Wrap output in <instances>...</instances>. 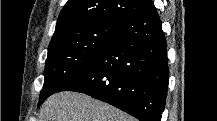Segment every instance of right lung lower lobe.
Returning <instances> with one entry per match:
<instances>
[{"label":"right lung lower lobe","mask_w":217,"mask_h":121,"mask_svg":"<svg viewBox=\"0 0 217 121\" xmlns=\"http://www.w3.org/2000/svg\"><path fill=\"white\" fill-rule=\"evenodd\" d=\"M168 81L167 43L152 2L116 32L90 65L56 92H82L140 121H161Z\"/></svg>","instance_id":"98d812e1"}]
</instances>
